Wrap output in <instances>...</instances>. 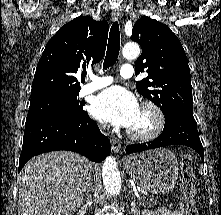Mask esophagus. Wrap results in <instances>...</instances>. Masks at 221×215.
Instances as JSON below:
<instances>
[{
	"label": "esophagus",
	"instance_id": "esophagus-1",
	"mask_svg": "<svg viewBox=\"0 0 221 215\" xmlns=\"http://www.w3.org/2000/svg\"><path fill=\"white\" fill-rule=\"evenodd\" d=\"M111 17H112L113 21L120 20V18H121L120 10H118V9L113 10L111 13ZM112 149H113L114 153H116V154H118L121 150V142L115 137L112 138Z\"/></svg>",
	"mask_w": 221,
	"mask_h": 215
}]
</instances>
